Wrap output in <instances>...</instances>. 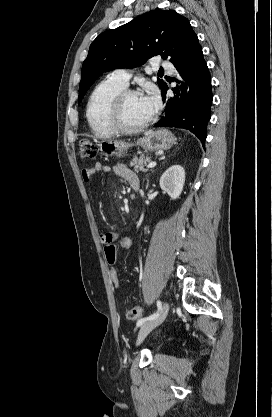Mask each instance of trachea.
<instances>
[{
    "mask_svg": "<svg viewBox=\"0 0 272 417\" xmlns=\"http://www.w3.org/2000/svg\"><path fill=\"white\" fill-rule=\"evenodd\" d=\"M159 73H163V71H159Z\"/></svg>",
    "mask_w": 272,
    "mask_h": 417,
    "instance_id": "obj_1",
    "label": "trachea"
}]
</instances>
